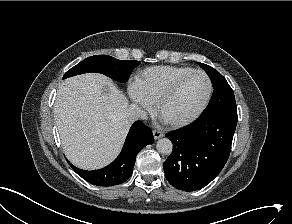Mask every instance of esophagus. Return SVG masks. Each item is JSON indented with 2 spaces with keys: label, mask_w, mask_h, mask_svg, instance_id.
<instances>
[{
  "label": "esophagus",
  "mask_w": 292,
  "mask_h": 224,
  "mask_svg": "<svg viewBox=\"0 0 292 224\" xmlns=\"http://www.w3.org/2000/svg\"><path fill=\"white\" fill-rule=\"evenodd\" d=\"M153 136H154V138L157 140V139H159V138H161V137H163V133L161 132V131H159V130H153Z\"/></svg>",
  "instance_id": "34e87169"
}]
</instances>
